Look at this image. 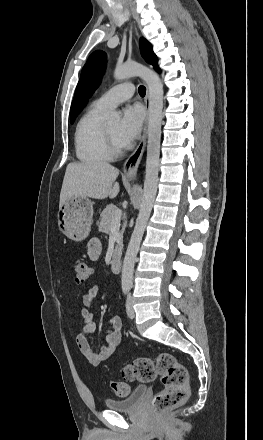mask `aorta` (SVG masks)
Masks as SVG:
<instances>
[{
	"label": "aorta",
	"mask_w": 263,
	"mask_h": 440,
	"mask_svg": "<svg viewBox=\"0 0 263 440\" xmlns=\"http://www.w3.org/2000/svg\"><path fill=\"white\" fill-rule=\"evenodd\" d=\"M135 76L144 80L149 91L148 144L143 196L136 225L123 261L121 279L124 287L132 286L137 253L157 193L163 109V85L155 72L138 63L119 64L115 67L114 78L116 80ZM105 117L108 121H117L119 113L110 111L105 114Z\"/></svg>",
	"instance_id": "obj_1"
}]
</instances>
